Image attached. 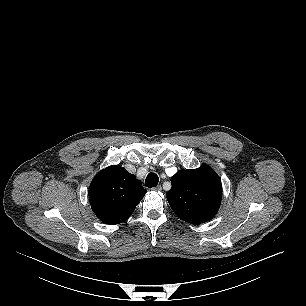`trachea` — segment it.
<instances>
[{
    "label": "trachea",
    "instance_id": "3493384b",
    "mask_svg": "<svg viewBox=\"0 0 306 306\" xmlns=\"http://www.w3.org/2000/svg\"><path fill=\"white\" fill-rule=\"evenodd\" d=\"M159 182V178L155 173H149L145 180L146 187H156Z\"/></svg>",
    "mask_w": 306,
    "mask_h": 306
}]
</instances>
